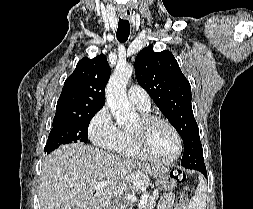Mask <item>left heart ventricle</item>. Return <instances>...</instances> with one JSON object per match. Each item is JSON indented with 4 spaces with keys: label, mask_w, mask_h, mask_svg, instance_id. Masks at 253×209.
<instances>
[{
    "label": "left heart ventricle",
    "mask_w": 253,
    "mask_h": 209,
    "mask_svg": "<svg viewBox=\"0 0 253 209\" xmlns=\"http://www.w3.org/2000/svg\"><path fill=\"white\" fill-rule=\"evenodd\" d=\"M139 125L140 120L132 129L138 128ZM146 148L152 156L158 159H169L177 149L175 135L167 125L156 122L146 130Z\"/></svg>",
    "instance_id": "left-heart-ventricle-1"
}]
</instances>
